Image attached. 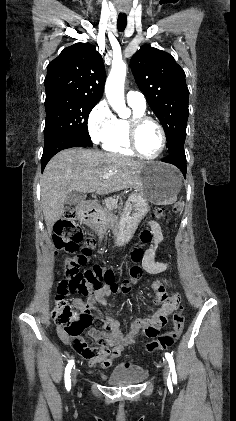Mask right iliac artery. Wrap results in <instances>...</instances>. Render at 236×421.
<instances>
[{
  "label": "right iliac artery",
  "mask_w": 236,
  "mask_h": 421,
  "mask_svg": "<svg viewBox=\"0 0 236 421\" xmlns=\"http://www.w3.org/2000/svg\"><path fill=\"white\" fill-rule=\"evenodd\" d=\"M74 365V360H70L65 368V387L69 391L71 389V379H70V373L71 369Z\"/></svg>",
  "instance_id": "1"
}]
</instances>
